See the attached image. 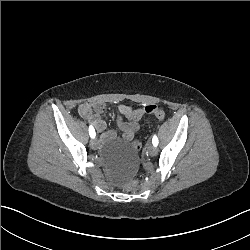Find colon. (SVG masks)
<instances>
[{
    "label": "colon",
    "instance_id": "colon-1",
    "mask_svg": "<svg viewBox=\"0 0 250 250\" xmlns=\"http://www.w3.org/2000/svg\"><path fill=\"white\" fill-rule=\"evenodd\" d=\"M154 113L155 116L157 117H162L163 116V111L159 109L155 105H148L146 107H142L136 111H134L131 114V119L134 121H139L140 117L145 116L147 114ZM134 148L135 149H140L141 148V142L140 141H135L134 142ZM143 181V178L140 175H136L132 181H130L127 185H124L121 189L120 192L123 195L129 194L133 189H135L141 182Z\"/></svg>",
    "mask_w": 250,
    "mask_h": 250
}]
</instances>
